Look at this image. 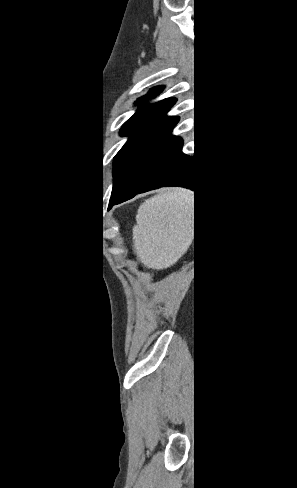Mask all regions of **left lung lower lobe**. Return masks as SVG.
Masks as SVG:
<instances>
[{
    "label": "left lung lower lobe",
    "instance_id": "0a47b994",
    "mask_svg": "<svg viewBox=\"0 0 297 488\" xmlns=\"http://www.w3.org/2000/svg\"><path fill=\"white\" fill-rule=\"evenodd\" d=\"M183 141L174 137L138 173L130 185L109 203V208L135 195L163 186H180L197 192L199 179L193 158L182 153Z\"/></svg>",
    "mask_w": 297,
    "mask_h": 488
}]
</instances>
